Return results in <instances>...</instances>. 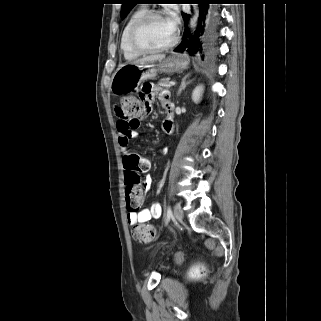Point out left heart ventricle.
I'll use <instances>...</instances> for the list:
<instances>
[{"mask_svg":"<svg viewBox=\"0 0 321 321\" xmlns=\"http://www.w3.org/2000/svg\"><path fill=\"white\" fill-rule=\"evenodd\" d=\"M174 36V28L167 18L156 16L147 20L138 34V41L148 48H157L169 43Z\"/></svg>","mask_w":321,"mask_h":321,"instance_id":"obj_1","label":"left heart ventricle"}]
</instances>
